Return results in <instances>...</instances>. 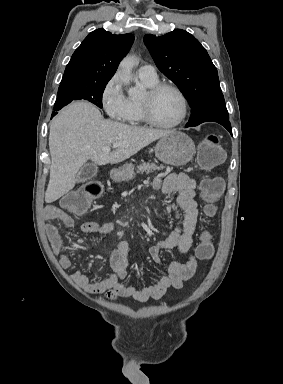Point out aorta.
<instances>
[{
    "instance_id": "762f6f07",
    "label": "aorta",
    "mask_w": 283,
    "mask_h": 384,
    "mask_svg": "<svg viewBox=\"0 0 283 384\" xmlns=\"http://www.w3.org/2000/svg\"><path fill=\"white\" fill-rule=\"evenodd\" d=\"M136 64V58L134 56H126L119 65V73L122 81L125 84H128L131 81V71L134 65ZM129 95L136 96L137 90L135 88H130L128 91Z\"/></svg>"
}]
</instances>
